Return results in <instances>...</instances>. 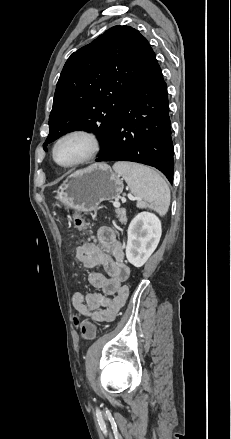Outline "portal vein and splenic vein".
<instances>
[{
    "label": "portal vein and splenic vein",
    "instance_id": "portal-vein-and-splenic-vein-1",
    "mask_svg": "<svg viewBox=\"0 0 231 439\" xmlns=\"http://www.w3.org/2000/svg\"><path fill=\"white\" fill-rule=\"evenodd\" d=\"M114 206L117 207V208H119V207H120V204H119L118 202H116V203H114Z\"/></svg>",
    "mask_w": 231,
    "mask_h": 439
}]
</instances>
